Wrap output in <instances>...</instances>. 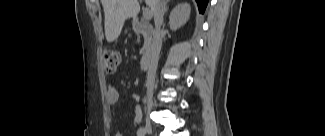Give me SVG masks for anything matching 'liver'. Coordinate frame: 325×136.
I'll return each instance as SVG.
<instances>
[{
	"mask_svg": "<svg viewBox=\"0 0 325 136\" xmlns=\"http://www.w3.org/2000/svg\"><path fill=\"white\" fill-rule=\"evenodd\" d=\"M101 3L105 14V36L111 43L119 37L125 20L137 16L140 5L138 0H101ZM146 3L152 6V0H146Z\"/></svg>",
	"mask_w": 325,
	"mask_h": 136,
	"instance_id": "6515ba94",
	"label": "liver"
}]
</instances>
